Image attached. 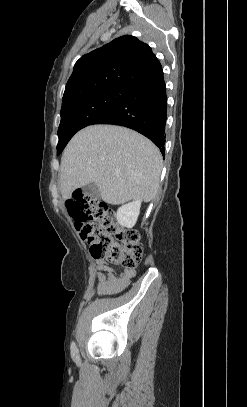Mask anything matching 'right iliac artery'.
Returning <instances> with one entry per match:
<instances>
[{
	"label": "right iliac artery",
	"mask_w": 247,
	"mask_h": 407,
	"mask_svg": "<svg viewBox=\"0 0 247 407\" xmlns=\"http://www.w3.org/2000/svg\"><path fill=\"white\" fill-rule=\"evenodd\" d=\"M71 353H72L73 355H75V354L78 353L77 346H76V344H75L74 342H72V344H71Z\"/></svg>",
	"instance_id": "82829eb1"
}]
</instances>
